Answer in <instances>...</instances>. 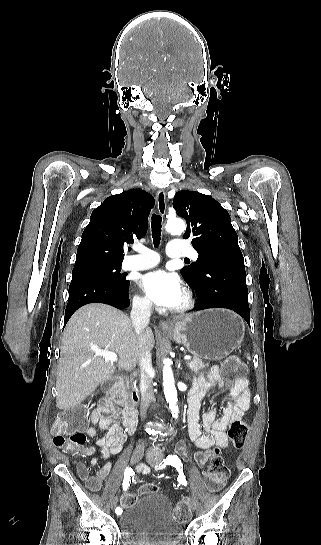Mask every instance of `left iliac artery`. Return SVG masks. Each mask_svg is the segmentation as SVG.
Wrapping results in <instances>:
<instances>
[{
	"label": "left iliac artery",
	"instance_id": "44dca946",
	"mask_svg": "<svg viewBox=\"0 0 321 545\" xmlns=\"http://www.w3.org/2000/svg\"><path fill=\"white\" fill-rule=\"evenodd\" d=\"M164 467L166 465H171L175 467L179 471L178 481L182 483L183 485H187L186 478L182 472V463L180 458L177 455H168L166 459H164L159 466Z\"/></svg>",
	"mask_w": 321,
	"mask_h": 545
}]
</instances>
